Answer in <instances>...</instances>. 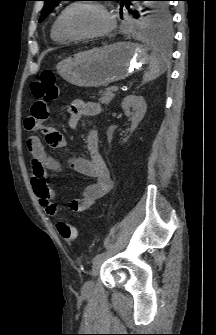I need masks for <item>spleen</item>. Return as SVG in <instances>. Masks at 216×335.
Returning a JSON list of instances; mask_svg holds the SVG:
<instances>
[{
  "label": "spleen",
  "instance_id": "spleen-1",
  "mask_svg": "<svg viewBox=\"0 0 216 335\" xmlns=\"http://www.w3.org/2000/svg\"><path fill=\"white\" fill-rule=\"evenodd\" d=\"M166 70V62L163 55L157 48H153L150 61L149 70L144 74L143 81L149 82L159 77Z\"/></svg>",
  "mask_w": 216,
  "mask_h": 335
}]
</instances>
